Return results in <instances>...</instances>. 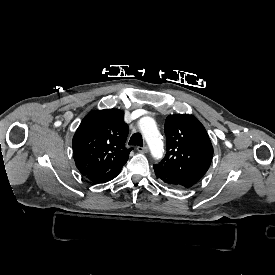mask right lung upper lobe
Instances as JSON below:
<instances>
[{
    "mask_svg": "<svg viewBox=\"0 0 275 275\" xmlns=\"http://www.w3.org/2000/svg\"><path fill=\"white\" fill-rule=\"evenodd\" d=\"M119 109L94 110L76 130L72 147L79 171L89 174L121 171L132 148H125L128 126Z\"/></svg>",
    "mask_w": 275,
    "mask_h": 275,
    "instance_id": "right-lung-upper-lobe-1",
    "label": "right lung upper lobe"
}]
</instances>
